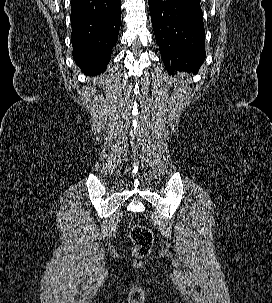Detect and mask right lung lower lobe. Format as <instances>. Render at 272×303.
<instances>
[{
	"label": "right lung lower lobe",
	"instance_id": "obj_1",
	"mask_svg": "<svg viewBox=\"0 0 272 303\" xmlns=\"http://www.w3.org/2000/svg\"><path fill=\"white\" fill-rule=\"evenodd\" d=\"M75 63L87 74L106 70L121 24V0H71Z\"/></svg>",
	"mask_w": 272,
	"mask_h": 303
}]
</instances>
